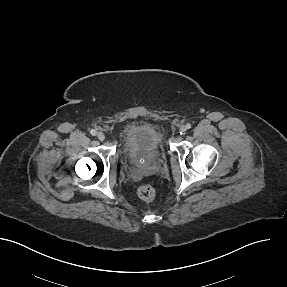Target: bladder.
Here are the masks:
<instances>
[{
    "label": "bladder",
    "instance_id": "obj_1",
    "mask_svg": "<svg viewBox=\"0 0 287 287\" xmlns=\"http://www.w3.org/2000/svg\"><path fill=\"white\" fill-rule=\"evenodd\" d=\"M163 148L161 134L149 125L130 126L121 142V154L130 162L154 160Z\"/></svg>",
    "mask_w": 287,
    "mask_h": 287
}]
</instances>
